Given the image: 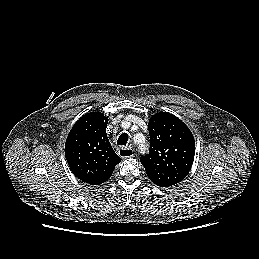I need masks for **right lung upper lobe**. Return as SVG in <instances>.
<instances>
[{"label": "right lung upper lobe", "mask_w": 259, "mask_h": 259, "mask_svg": "<svg viewBox=\"0 0 259 259\" xmlns=\"http://www.w3.org/2000/svg\"><path fill=\"white\" fill-rule=\"evenodd\" d=\"M107 121L100 112L87 113L75 123L66 140L65 157L72 173L91 185L107 181L121 161L108 140Z\"/></svg>", "instance_id": "obj_1"}]
</instances>
